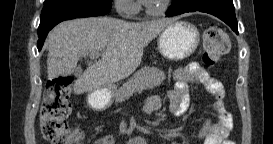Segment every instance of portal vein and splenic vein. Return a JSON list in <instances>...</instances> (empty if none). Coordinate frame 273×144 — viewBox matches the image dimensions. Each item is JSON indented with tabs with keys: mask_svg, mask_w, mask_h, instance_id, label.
<instances>
[{
	"mask_svg": "<svg viewBox=\"0 0 273 144\" xmlns=\"http://www.w3.org/2000/svg\"><path fill=\"white\" fill-rule=\"evenodd\" d=\"M89 56L92 60H97L99 57V52H92L91 54H89Z\"/></svg>",
	"mask_w": 273,
	"mask_h": 144,
	"instance_id": "obj_1",
	"label": "portal vein and splenic vein"
}]
</instances>
